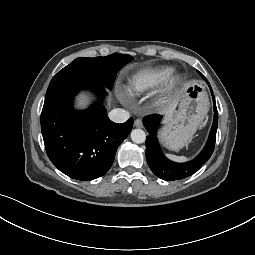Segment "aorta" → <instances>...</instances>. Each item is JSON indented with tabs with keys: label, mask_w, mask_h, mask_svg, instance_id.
<instances>
[{
	"label": "aorta",
	"mask_w": 255,
	"mask_h": 255,
	"mask_svg": "<svg viewBox=\"0 0 255 255\" xmlns=\"http://www.w3.org/2000/svg\"><path fill=\"white\" fill-rule=\"evenodd\" d=\"M131 139L133 142L140 144L145 142L146 134L142 129H134L131 132Z\"/></svg>",
	"instance_id": "obj_1"
}]
</instances>
